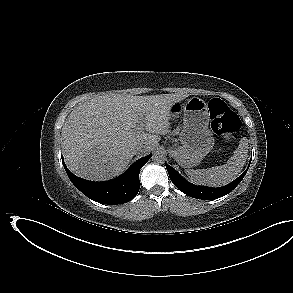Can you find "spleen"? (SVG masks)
I'll use <instances>...</instances> for the list:
<instances>
[{
  "label": "spleen",
  "instance_id": "3e777b00",
  "mask_svg": "<svg viewBox=\"0 0 293 293\" xmlns=\"http://www.w3.org/2000/svg\"><path fill=\"white\" fill-rule=\"evenodd\" d=\"M248 157V139L241 138L234 155L221 166L209 169L193 170L186 169L185 173L190 180L199 185L220 187L232 182L243 169Z\"/></svg>",
  "mask_w": 293,
  "mask_h": 293
}]
</instances>
